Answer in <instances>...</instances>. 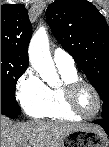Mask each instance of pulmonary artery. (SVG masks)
<instances>
[{
	"mask_svg": "<svg viewBox=\"0 0 109 147\" xmlns=\"http://www.w3.org/2000/svg\"><path fill=\"white\" fill-rule=\"evenodd\" d=\"M53 60L58 69L74 70L75 62L73 57L61 48H55L53 51Z\"/></svg>",
	"mask_w": 109,
	"mask_h": 147,
	"instance_id": "e3ab8cb5",
	"label": "pulmonary artery"
}]
</instances>
